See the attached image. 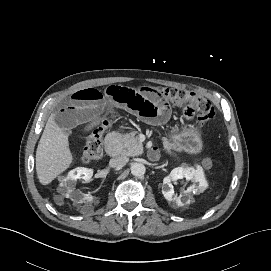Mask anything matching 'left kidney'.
Listing matches in <instances>:
<instances>
[{"instance_id": "left-kidney-1", "label": "left kidney", "mask_w": 271, "mask_h": 271, "mask_svg": "<svg viewBox=\"0 0 271 271\" xmlns=\"http://www.w3.org/2000/svg\"><path fill=\"white\" fill-rule=\"evenodd\" d=\"M183 178L196 183L198 182L200 187L206 186V180L201 168H174L171 173L163 179L162 193L166 200L175 202L177 206H183L185 203H189L191 198L190 194L196 190V185L193 184L186 189L183 195H175L172 182Z\"/></svg>"}]
</instances>
